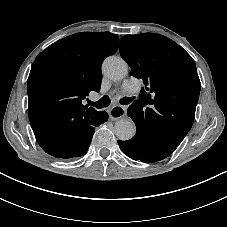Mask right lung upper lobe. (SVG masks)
I'll list each match as a JSON object with an SVG mask.
<instances>
[{
	"label": "right lung upper lobe",
	"mask_w": 227,
	"mask_h": 227,
	"mask_svg": "<svg viewBox=\"0 0 227 227\" xmlns=\"http://www.w3.org/2000/svg\"><path fill=\"white\" fill-rule=\"evenodd\" d=\"M118 35L81 32L63 38L41 52L32 64L27 83L31 126L44 130L76 117L108 119L105 111L82 104L90 91L100 90L101 65L114 54Z\"/></svg>",
	"instance_id": "obj_1"
}]
</instances>
